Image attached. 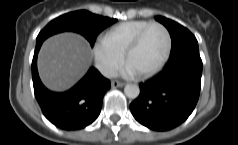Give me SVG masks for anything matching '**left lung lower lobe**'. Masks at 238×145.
<instances>
[{"instance_id": "left-lung-lower-lobe-1", "label": "left lung lower lobe", "mask_w": 238, "mask_h": 145, "mask_svg": "<svg viewBox=\"0 0 238 145\" xmlns=\"http://www.w3.org/2000/svg\"><path fill=\"white\" fill-rule=\"evenodd\" d=\"M202 60L199 52L183 54L140 84V95L130 104L134 118L155 131L171 130L194 110L201 89Z\"/></svg>"}]
</instances>
